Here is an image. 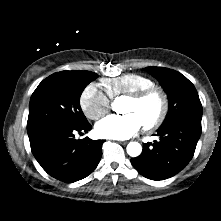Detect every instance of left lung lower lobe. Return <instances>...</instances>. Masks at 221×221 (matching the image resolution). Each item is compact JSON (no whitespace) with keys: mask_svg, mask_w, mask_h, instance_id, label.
Listing matches in <instances>:
<instances>
[{"mask_svg":"<svg viewBox=\"0 0 221 221\" xmlns=\"http://www.w3.org/2000/svg\"><path fill=\"white\" fill-rule=\"evenodd\" d=\"M201 131V118L179 117L161 126L157 130L160 141L144 144L141 155L131 163L148 179L170 178L192 159Z\"/></svg>","mask_w":221,"mask_h":221,"instance_id":"left-lung-lower-lobe-1","label":"left lung lower lobe"}]
</instances>
